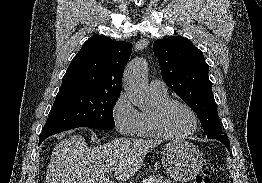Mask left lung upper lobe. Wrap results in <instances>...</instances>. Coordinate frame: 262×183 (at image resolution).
Returning <instances> with one entry per match:
<instances>
[{
  "label": "left lung upper lobe",
  "mask_w": 262,
  "mask_h": 183,
  "mask_svg": "<svg viewBox=\"0 0 262 183\" xmlns=\"http://www.w3.org/2000/svg\"><path fill=\"white\" fill-rule=\"evenodd\" d=\"M164 82L198 115L208 138H227L222 134L208 65L203 53L188 39L169 37L154 42Z\"/></svg>",
  "instance_id": "left-lung-upper-lobe-1"
}]
</instances>
